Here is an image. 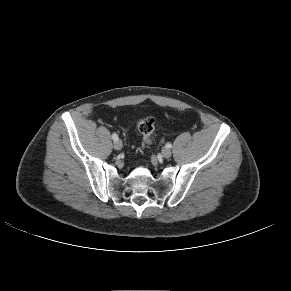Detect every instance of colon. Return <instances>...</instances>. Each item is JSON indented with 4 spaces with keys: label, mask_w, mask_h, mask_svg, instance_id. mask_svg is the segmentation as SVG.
I'll return each instance as SVG.
<instances>
[{
    "label": "colon",
    "mask_w": 291,
    "mask_h": 291,
    "mask_svg": "<svg viewBox=\"0 0 291 291\" xmlns=\"http://www.w3.org/2000/svg\"><path fill=\"white\" fill-rule=\"evenodd\" d=\"M139 132L142 136L144 144L148 145L152 141V134L155 130L154 119L147 117L140 121L138 125Z\"/></svg>",
    "instance_id": "colon-1"
}]
</instances>
